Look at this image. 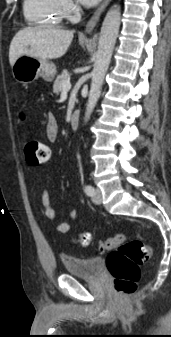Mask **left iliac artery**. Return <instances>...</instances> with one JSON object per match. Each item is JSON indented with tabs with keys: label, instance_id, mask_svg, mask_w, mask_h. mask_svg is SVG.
I'll return each mask as SVG.
<instances>
[{
	"label": "left iliac artery",
	"instance_id": "1",
	"mask_svg": "<svg viewBox=\"0 0 171 337\" xmlns=\"http://www.w3.org/2000/svg\"><path fill=\"white\" fill-rule=\"evenodd\" d=\"M85 192L87 195L89 196H93L94 195V188L91 185H86L85 186Z\"/></svg>",
	"mask_w": 171,
	"mask_h": 337
}]
</instances>
